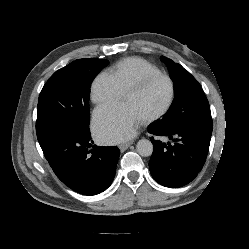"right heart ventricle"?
<instances>
[{"label": "right heart ventricle", "instance_id": "e07e8e85", "mask_svg": "<svg viewBox=\"0 0 249 249\" xmlns=\"http://www.w3.org/2000/svg\"><path fill=\"white\" fill-rule=\"evenodd\" d=\"M161 73L160 70L139 57H128L119 61L111 71L122 92L141 78L150 74Z\"/></svg>", "mask_w": 249, "mask_h": 249}]
</instances>
